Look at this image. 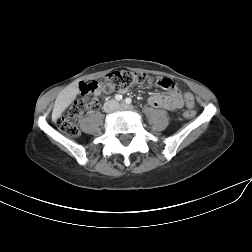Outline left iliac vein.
Masks as SVG:
<instances>
[{
  "label": "left iliac vein",
  "instance_id": "1",
  "mask_svg": "<svg viewBox=\"0 0 252 252\" xmlns=\"http://www.w3.org/2000/svg\"><path fill=\"white\" fill-rule=\"evenodd\" d=\"M118 107H119V108H124L125 105H124V104H120Z\"/></svg>",
  "mask_w": 252,
  "mask_h": 252
}]
</instances>
